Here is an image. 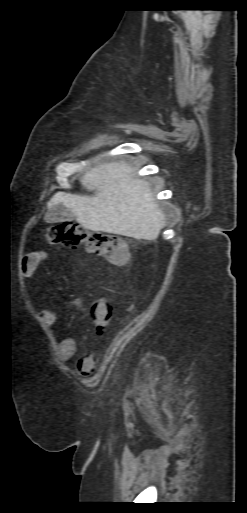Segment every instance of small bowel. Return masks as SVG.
Returning a JSON list of instances; mask_svg holds the SVG:
<instances>
[{
    "mask_svg": "<svg viewBox=\"0 0 247 513\" xmlns=\"http://www.w3.org/2000/svg\"><path fill=\"white\" fill-rule=\"evenodd\" d=\"M43 258L44 254L42 253H35L26 256L21 263L22 277L24 279H29L36 272ZM75 305L88 312L90 318L92 319V315L90 313V306L85 307L83 305L82 300L80 299L75 300ZM40 317L43 325L48 329L52 328L57 320L56 313L50 308H43L40 311ZM76 351L77 341L75 338L65 337L59 341L57 346V356L60 361H68L75 355ZM94 364L95 361L93 358H83L79 360V362L77 363V371L81 375H88L93 370Z\"/></svg>",
    "mask_w": 247,
    "mask_h": 513,
    "instance_id": "c3829d8e",
    "label": "small bowel"
}]
</instances>
